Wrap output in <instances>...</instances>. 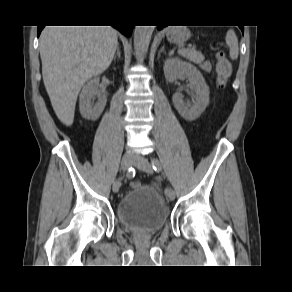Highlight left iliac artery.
Segmentation results:
<instances>
[{"label":"left iliac artery","mask_w":292,"mask_h":292,"mask_svg":"<svg viewBox=\"0 0 292 292\" xmlns=\"http://www.w3.org/2000/svg\"><path fill=\"white\" fill-rule=\"evenodd\" d=\"M151 164H152V167H153V169L155 171H157V172H161L162 171V165H161V163L159 162L158 159L151 158ZM170 190H171V188L167 187L165 189V194H167Z\"/></svg>","instance_id":"left-iliac-artery-1"}]
</instances>
